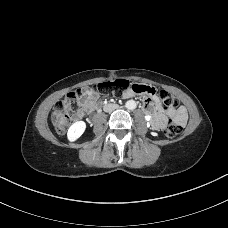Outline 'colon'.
<instances>
[{"instance_id":"1","label":"colon","mask_w":228,"mask_h":228,"mask_svg":"<svg viewBox=\"0 0 228 228\" xmlns=\"http://www.w3.org/2000/svg\"><path fill=\"white\" fill-rule=\"evenodd\" d=\"M94 91L101 92L108 88L128 89L130 88L135 94L150 97L155 90L147 85L130 83L127 79H115L94 85L91 87ZM87 91L80 88L68 93L60 105H57L52 112V121L57 132L62 133L70 122V110L77 107L85 98ZM161 107L164 110H172L178 106V100L175 96L165 90L159 92ZM182 127L172 119H169L164 128V134L171 139L180 135Z\"/></svg>"}]
</instances>
